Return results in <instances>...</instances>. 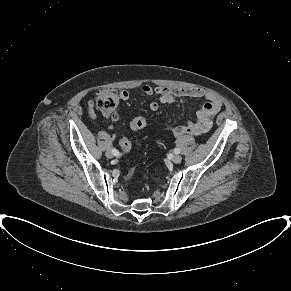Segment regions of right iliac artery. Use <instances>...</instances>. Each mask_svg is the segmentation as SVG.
Returning <instances> with one entry per match:
<instances>
[{"mask_svg": "<svg viewBox=\"0 0 291 291\" xmlns=\"http://www.w3.org/2000/svg\"><path fill=\"white\" fill-rule=\"evenodd\" d=\"M112 152L115 156H118L119 155V151L115 148H112Z\"/></svg>", "mask_w": 291, "mask_h": 291, "instance_id": "82829eb1", "label": "right iliac artery"}]
</instances>
